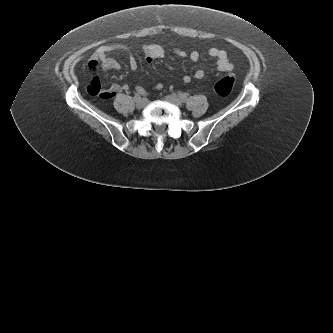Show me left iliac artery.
Returning a JSON list of instances; mask_svg holds the SVG:
<instances>
[{
  "instance_id": "44dca946",
  "label": "left iliac artery",
  "mask_w": 333,
  "mask_h": 333,
  "mask_svg": "<svg viewBox=\"0 0 333 333\" xmlns=\"http://www.w3.org/2000/svg\"><path fill=\"white\" fill-rule=\"evenodd\" d=\"M178 95L181 98V100H183V101H185L188 96L186 93H182V92H178Z\"/></svg>"
}]
</instances>
